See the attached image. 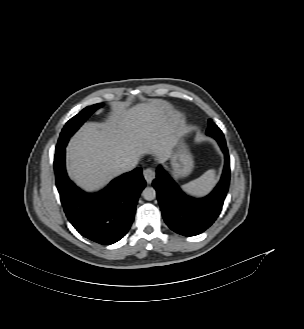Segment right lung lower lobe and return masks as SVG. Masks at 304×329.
Here are the masks:
<instances>
[{"mask_svg": "<svg viewBox=\"0 0 304 329\" xmlns=\"http://www.w3.org/2000/svg\"><path fill=\"white\" fill-rule=\"evenodd\" d=\"M54 170L66 216L82 236L102 245L113 244L125 236L146 185L141 168L114 179L96 194L85 193L68 178L65 147L55 153Z\"/></svg>", "mask_w": 304, "mask_h": 329, "instance_id": "1", "label": "right lung lower lobe"}]
</instances>
